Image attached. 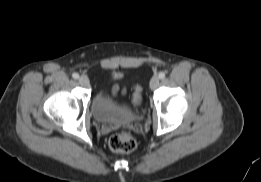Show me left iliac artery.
Wrapping results in <instances>:
<instances>
[{
  "label": "left iliac artery",
  "instance_id": "left-iliac-artery-1",
  "mask_svg": "<svg viewBox=\"0 0 261 182\" xmlns=\"http://www.w3.org/2000/svg\"><path fill=\"white\" fill-rule=\"evenodd\" d=\"M165 76H166V75H165V73H164V72H160V73H159V78H160V79H164V78H165Z\"/></svg>",
  "mask_w": 261,
  "mask_h": 182
}]
</instances>
